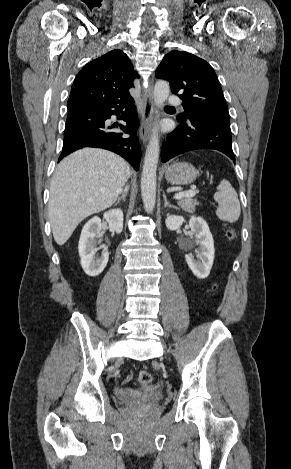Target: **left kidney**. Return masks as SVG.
Returning a JSON list of instances; mask_svg holds the SVG:
<instances>
[{
  "label": "left kidney",
  "mask_w": 291,
  "mask_h": 469,
  "mask_svg": "<svg viewBox=\"0 0 291 469\" xmlns=\"http://www.w3.org/2000/svg\"><path fill=\"white\" fill-rule=\"evenodd\" d=\"M183 222L184 218L177 215H170L165 220L169 230H177ZM189 226L195 234L196 258L194 254L189 253L185 255V259L193 274L199 279H205L210 274L214 262V240L204 219L191 217Z\"/></svg>",
  "instance_id": "left-kidney-1"
}]
</instances>
